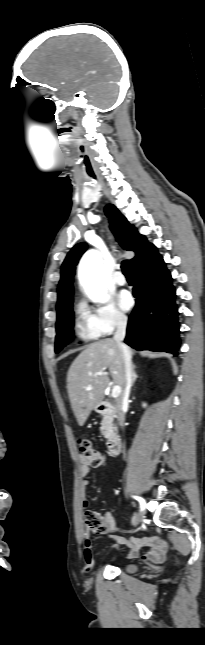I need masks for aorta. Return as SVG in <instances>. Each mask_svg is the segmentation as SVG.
<instances>
[{
	"label": "aorta",
	"mask_w": 205,
	"mask_h": 645,
	"mask_svg": "<svg viewBox=\"0 0 205 645\" xmlns=\"http://www.w3.org/2000/svg\"><path fill=\"white\" fill-rule=\"evenodd\" d=\"M79 281L88 297L98 303H106L109 299L103 281L101 259L96 250L86 252L79 264Z\"/></svg>",
	"instance_id": "aorta-1"
}]
</instances>
